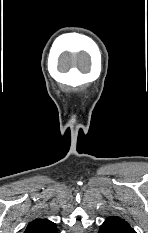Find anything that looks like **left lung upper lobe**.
Returning a JSON list of instances; mask_svg holds the SVG:
<instances>
[{
    "instance_id": "obj_1",
    "label": "left lung upper lobe",
    "mask_w": 148,
    "mask_h": 233,
    "mask_svg": "<svg viewBox=\"0 0 148 233\" xmlns=\"http://www.w3.org/2000/svg\"><path fill=\"white\" fill-rule=\"evenodd\" d=\"M99 231L103 233H135L134 229L130 227L129 223L118 216H109L101 225Z\"/></svg>"
}]
</instances>
